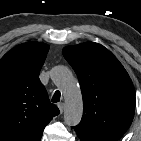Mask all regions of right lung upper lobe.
<instances>
[{"instance_id":"obj_1","label":"right lung upper lobe","mask_w":141,"mask_h":141,"mask_svg":"<svg viewBox=\"0 0 141 141\" xmlns=\"http://www.w3.org/2000/svg\"><path fill=\"white\" fill-rule=\"evenodd\" d=\"M48 50L45 43L28 42L0 59V141H40L59 114L39 80Z\"/></svg>"}]
</instances>
